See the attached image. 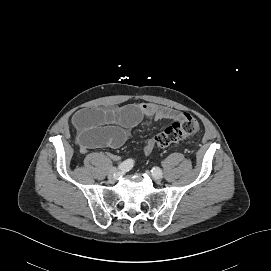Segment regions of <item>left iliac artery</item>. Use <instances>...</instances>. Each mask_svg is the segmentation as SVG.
Wrapping results in <instances>:
<instances>
[{
    "mask_svg": "<svg viewBox=\"0 0 271 271\" xmlns=\"http://www.w3.org/2000/svg\"><path fill=\"white\" fill-rule=\"evenodd\" d=\"M151 172H152V175L154 176H162V171L158 167H153Z\"/></svg>",
    "mask_w": 271,
    "mask_h": 271,
    "instance_id": "44dca946",
    "label": "left iliac artery"
}]
</instances>
